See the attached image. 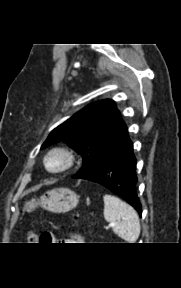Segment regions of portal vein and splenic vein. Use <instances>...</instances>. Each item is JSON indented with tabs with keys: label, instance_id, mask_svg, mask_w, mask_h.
Segmentation results:
<instances>
[{
	"label": "portal vein and splenic vein",
	"instance_id": "18ae733b",
	"mask_svg": "<svg viewBox=\"0 0 181 288\" xmlns=\"http://www.w3.org/2000/svg\"><path fill=\"white\" fill-rule=\"evenodd\" d=\"M114 224H112V223H110L109 225H108V227H112Z\"/></svg>",
	"mask_w": 181,
	"mask_h": 288
}]
</instances>
